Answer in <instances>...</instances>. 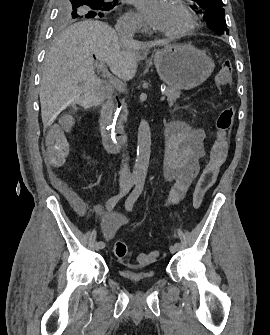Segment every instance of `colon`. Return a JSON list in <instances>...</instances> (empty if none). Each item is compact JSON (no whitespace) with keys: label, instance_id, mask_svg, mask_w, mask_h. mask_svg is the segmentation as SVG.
I'll list each match as a JSON object with an SVG mask.
<instances>
[{"label":"colon","instance_id":"colon-1","mask_svg":"<svg viewBox=\"0 0 270 335\" xmlns=\"http://www.w3.org/2000/svg\"><path fill=\"white\" fill-rule=\"evenodd\" d=\"M232 80V61L225 60L222 68L219 70L216 83L217 85L227 86ZM235 109L226 106L221 109L216 118L215 128L217 130V141L213 142V148L208 163L200 174L192 198V205L195 210L199 209L204 201L208 190L214 185L218 172L224 163L228 151V131L233 124ZM114 254L119 259H125L128 255V246L126 242L117 240L114 243ZM158 254L156 251L143 252L137 256V262L140 265L152 263Z\"/></svg>","mask_w":270,"mask_h":335}]
</instances>
